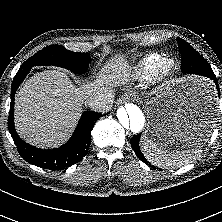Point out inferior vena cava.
<instances>
[{"mask_svg": "<svg viewBox=\"0 0 222 222\" xmlns=\"http://www.w3.org/2000/svg\"><path fill=\"white\" fill-rule=\"evenodd\" d=\"M88 107L96 112H108L113 106V95L98 93L87 100Z\"/></svg>", "mask_w": 222, "mask_h": 222, "instance_id": "obj_1", "label": "inferior vena cava"}]
</instances>
